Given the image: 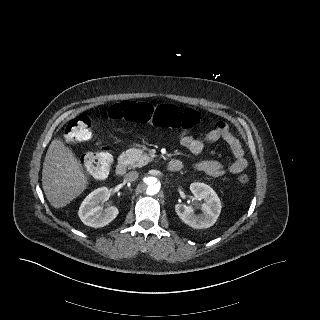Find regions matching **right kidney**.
Wrapping results in <instances>:
<instances>
[{
	"mask_svg": "<svg viewBox=\"0 0 320 320\" xmlns=\"http://www.w3.org/2000/svg\"><path fill=\"white\" fill-rule=\"evenodd\" d=\"M108 198L109 190L107 187H101L91 192L79 208L78 215L81 221L93 228H101L112 222L119 213L118 208L110 206L103 210L100 205Z\"/></svg>",
	"mask_w": 320,
	"mask_h": 320,
	"instance_id": "1",
	"label": "right kidney"
}]
</instances>
